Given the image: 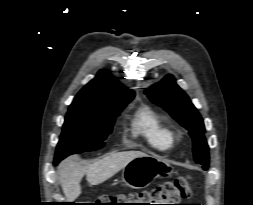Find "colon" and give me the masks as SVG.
I'll return each instance as SVG.
<instances>
[{
	"instance_id": "5ec220e1",
	"label": "colon",
	"mask_w": 253,
	"mask_h": 205,
	"mask_svg": "<svg viewBox=\"0 0 253 205\" xmlns=\"http://www.w3.org/2000/svg\"><path fill=\"white\" fill-rule=\"evenodd\" d=\"M192 193L189 177H179L165 182L151 190L128 195H103L100 205H179L181 199Z\"/></svg>"
}]
</instances>
